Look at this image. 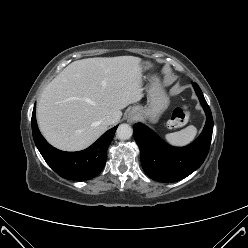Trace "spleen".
Wrapping results in <instances>:
<instances>
[{
  "label": "spleen",
  "instance_id": "spleen-1",
  "mask_svg": "<svg viewBox=\"0 0 248 248\" xmlns=\"http://www.w3.org/2000/svg\"><path fill=\"white\" fill-rule=\"evenodd\" d=\"M197 135L195 126L190 125L178 132L165 135L166 141L173 146H185L190 144Z\"/></svg>",
  "mask_w": 248,
  "mask_h": 248
}]
</instances>
